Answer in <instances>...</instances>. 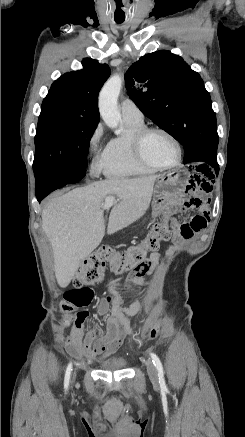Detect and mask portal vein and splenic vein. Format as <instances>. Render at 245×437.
Masks as SVG:
<instances>
[{
	"instance_id": "1",
	"label": "portal vein and splenic vein",
	"mask_w": 245,
	"mask_h": 437,
	"mask_svg": "<svg viewBox=\"0 0 245 437\" xmlns=\"http://www.w3.org/2000/svg\"><path fill=\"white\" fill-rule=\"evenodd\" d=\"M117 201L118 200H115L114 197H107V198H105L103 206H104V208H110Z\"/></svg>"
}]
</instances>
